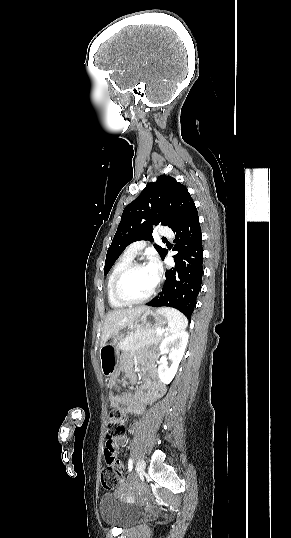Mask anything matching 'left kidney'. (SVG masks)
Instances as JSON below:
<instances>
[{"label":"left kidney","instance_id":"5707ae66","mask_svg":"<svg viewBox=\"0 0 291 538\" xmlns=\"http://www.w3.org/2000/svg\"><path fill=\"white\" fill-rule=\"evenodd\" d=\"M188 338V332L181 331L163 339L160 351L162 354L168 355L172 362L170 367L167 363H162L158 367L159 378L164 384H169L177 373L179 363L184 356Z\"/></svg>","mask_w":291,"mask_h":538}]
</instances>
